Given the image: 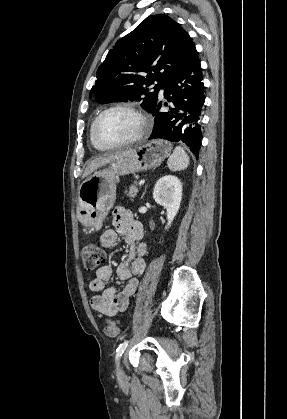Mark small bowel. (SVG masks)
<instances>
[{
	"mask_svg": "<svg viewBox=\"0 0 287 419\" xmlns=\"http://www.w3.org/2000/svg\"><path fill=\"white\" fill-rule=\"evenodd\" d=\"M115 229H108L102 233L99 243L104 248H114L118 243V235L124 236L129 246V253L126 261L116 268V275L120 280H126V285L116 291L113 287H106L105 284L112 276V267L105 265L99 268L95 278L90 282V289L93 292H100L91 298L90 304L96 313L101 316H115L118 312L126 310L131 296L138 288L137 276L144 271L147 248L141 242L143 230L141 224L133 218L130 210L126 208L115 209L112 217Z\"/></svg>",
	"mask_w": 287,
	"mask_h": 419,
	"instance_id": "small-bowel-1",
	"label": "small bowel"
}]
</instances>
